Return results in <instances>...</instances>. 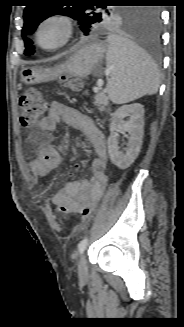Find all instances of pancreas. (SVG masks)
Listing matches in <instances>:
<instances>
[{
  "label": "pancreas",
  "instance_id": "cf45deb5",
  "mask_svg": "<svg viewBox=\"0 0 184 327\" xmlns=\"http://www.w3.org/2000/svg\"><path fill=\"white\" fill-rule=\"evenodd\" d=\"M96 95L94 97L95 102L94 104L98 106L100 111L105 110V107L108 105V97L105 95L104 92H95Z\"/></svg>",
  "mask_w": 184,
  "mask_h": 327
}]
</instances>
